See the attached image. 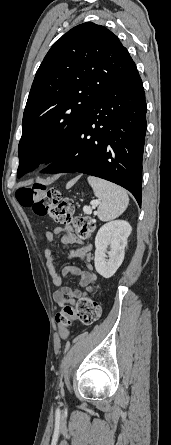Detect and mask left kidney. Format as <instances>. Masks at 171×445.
<instances>
[{"instance_id": "obj_1", "label": "left kidney", "mask_w": 171, "mask_h": 445, "mask_svg": "<svg viewBox=\"0 0 171 445\" xmlns=\"http://www.w3.org/2000/svg\"><path fill=\"white\" fill-rule=\"evenodd\" d=\"M131 231V225L124 220L110 221L98 230L95 237L94 264L96 271L102 277H112L121 266ZM108 247H110L109 252H107Z\"/></svg>"}]
</instances>
